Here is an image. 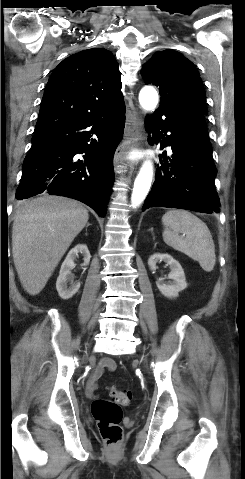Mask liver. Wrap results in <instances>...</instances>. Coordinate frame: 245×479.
<instances>
[{
    "mask_svg": "<svg viewBox=\"0 0 245 479\" xmlns=\"http://www.w3.org/2000/svg\"><path fill=\"white\" fill-rule=\"evenodd\" d=\"M89 219L75 200L43 196L21 203L12 227L14 265L23 288L39 294Z\"/></svg>",
    "mask_w": 245,
    "mask_h": 479,
    "instance_id": "1",
    "label": "liver"
}]
</instances>
